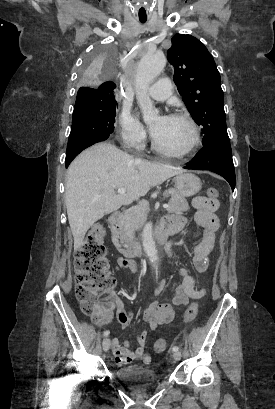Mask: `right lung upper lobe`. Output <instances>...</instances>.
Wrapping results in <instances>:
<instances>
[{
	"instance_id": "cb5924a9",
	"label": "right lung upper lobe",
	"mask_w": 275,
	"mask_h": 409,
	"mask_svg": "<svg viewBox=\"0 0 275 409\" xmlns=\"http://www.w3.org/2000/svg\"><path fill=\"white\" fill-rule=\"evenodd\" d=\"M116 85L112 81H106L100 85L99 90H79V93H91L97 96H114Z\"/></svg>"
}]
</instances>
